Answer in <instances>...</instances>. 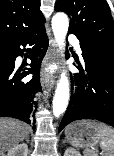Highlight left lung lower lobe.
<instances>
[{
    "instance_id": "1",
    "label": "left lung lower lobe",
    "mask_w": 114,
    "mask_h": 156,
    "mask_svg": "<svg viewBox=\"0 0 114 156\" xmlns=\"http://www.w3.org/2000/svg\"><path fill=\"white\" fill-rule=\"evenodd\" d=\"M80 47L83 65L77 60L80 72L74 75L78 87L58 132L80 119L99 120L114 127V59L83 43Z\"/></svg>"
}]
</instances>
